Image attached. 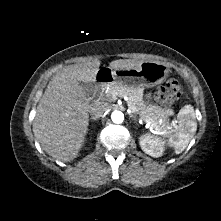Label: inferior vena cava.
Listing matches in <instances>:
<instances>
[{
  "label": "inferior vena cava",
  "instance_id": "inferior-vena-cava-1",
  "mask_svg": "<svg viewBox=\"0 0 221 221\" xmlns=\"http://www.w3.org/2000/svg\"><path fill=\"white\" fill-rule=\"evenodd\" d=\"M108 109L107 105L104 103H96L90 109L91 118L96 120L103 116L105 111Z\"/></svg>",
  "mask_w": 221,
  "mask_h": 221
}]
</instances>
